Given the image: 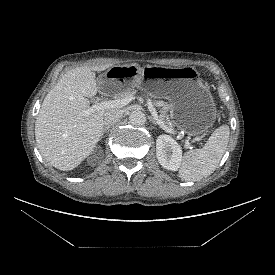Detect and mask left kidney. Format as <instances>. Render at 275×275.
Instances as JSON below:
<instances>
[{
    "instance_id": "1",
    "label": "left kidney",
    "mask_w": 275,
    "mask_h": 275,
    "mask_svg": "<svg viewBox=\"0 0 275 275\" xmlns=\"http://www.w3.org/2000/svg\"><path fill=\"white\" fill-rule=\"evenodd\" d=\"M156 155L160 165L167 170L177 171L181 165L182 149L169 135L158 136Z\"/></svg>"
}]
</instances>
